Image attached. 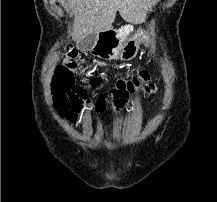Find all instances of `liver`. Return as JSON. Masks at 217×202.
Wrapping results in <instances>:
<instances>
[{"label": "liver", "instance_id": "6515ba94", "mask_svg": "<svg viewBox=\"0 0 217 202\" xmlns=\"http://www.w3.org/2000/svg\"><path fill=\"white\" fill-rule=\"evenodd\" d=\"M72 10L74 18L73 40L81 42L89 34L111 30L116 12L130 24L146 22L152 6L160 0H60Z\"/></svg>", "mask_w": 217, "mask_h": 202}]
</instances>
